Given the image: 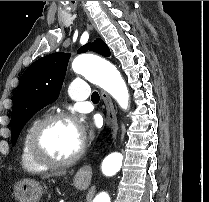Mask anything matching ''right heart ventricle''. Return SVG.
<instances>
[{
  "label": "right heart ventricle",
  "instance_id": "e07e8e85",
  "mask_svg": "<svg viewBox=\"0 0 209 202\" xmlns=\"http://www.w3.org/2000/svg\"><path fill=\"white\" fill-rule=\"evenodd\" d=\"M38 122V119L33 120L25 129L21 139L20 145V163L22 167L28 171L33 173L42 172L45 168L38 166L29 156L28 153V140L30 133L34 127V125Z\"/></svg>",
  "mask_w": 209,
  "mask_h": 202
}]
</instances>
